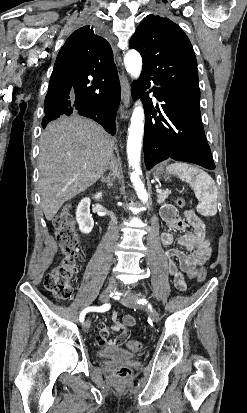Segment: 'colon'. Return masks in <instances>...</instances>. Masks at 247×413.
<instances>
[{
  "mask_svg": "<svg viewBox=\"0 0 247 413\" xmlns=\"http://www.w3.org/2000/svg\"><path fill=\"white\" fill-rule=\"evenodd\" d=\"M177 207H184V198H177ZM55 235L61 249V261L55 265L44 277V287L50 291L57 300L68 301L73 296L72 281L76 271L78 258L79 236L74 227V213L71 206L67 205L54 220ZM209 260L211 257H208ZM206 266H201L197 276L202 282L206 276ZM127 347L136 352L141 344L136 340H125ZM115 381H130L131 375L127 367H120L114 375Z\"/></svg>",
  "mask_w": 247,
  "mask_h": 413,
  "instance_id": "1",
  "label": "colon"
}]
</instances>
